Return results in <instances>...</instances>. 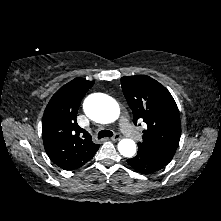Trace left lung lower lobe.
<instances>
[{"label": "left lung lower lobe", "instance_id": "obj_1", "mask_svg": "<svg viewBox=\"0 0 221 221\" xmlns=\"http://www.w3.org/2000/svg\"><path fill=\"white\" fill-rule=\"evenodd\" d=\"M127 162L137 172L150 174L164 168L170 161L152 155L150 152L139 150L134 158L128 159Z\"/></svg>", "mask_w": 221, "mask_h": 221}]
</instances>
